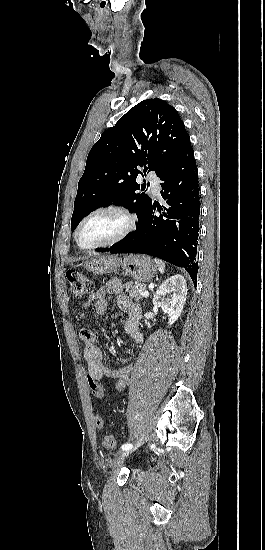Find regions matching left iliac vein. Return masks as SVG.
I'll list each match as a JSON object with an SVG mask.
<instances>
[{
	"label": "left iliac vein",
	"mask_w": 265,
	"mask_h": 550,
	"mask_svg": "<svg viewBox=\"0 0 265 550\" xmlns=\"http://www.w3.org/2000/svg\"><path fill=\"white\" fill-rule=\"evenodd\" d=\"M148 439V435H144L137 443L136 446L133 448L135 450L137 447H139L141 444L144 443ZM133 450H126L121 453H119L116 457V460L114 461V466H119L121 464V459L125 458L131 451Z\"/></svg>",
	"instance_id": "1"
}]
</instances>
